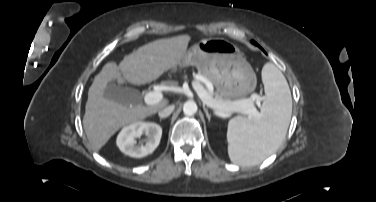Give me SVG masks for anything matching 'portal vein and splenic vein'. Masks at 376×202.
<instances>
[{
	"instance_id": "obj_1",
	"label": "portal vein and splenic vein",
	"mask_w": 376,
	"mask_h": 202,
	"mask_svg": "<svg viewBox=\"0 0 376 202\" xmlns=\"http://www.w3.org/2000/svg\"><path fill=\"white\" fill-rule=\"evenodd\" d=\"M194 89L197 91L198 96L203 100V102L219 111L223 112H241L244 114L255 116L257 115V110L254 107V100L258 99L257 96H252V98L245 99V100H237V101H218L214 99L211 95H209L203 87H201L197 83H193ZM209 88H212L211 83H209ZM163 99V95L158 91H151L148 92L144 96V101L148 105H153L159 103Z\"/></svg>"
}]
</instances>
